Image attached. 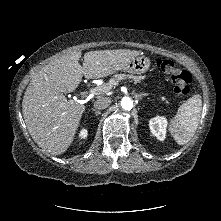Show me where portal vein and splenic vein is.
Masks as SVG:
<instances>
[{"label":"portal vein and splenic vein","mask_w":221,"mask_h":221,"mask_svg":"<svg viewBox=\"0 0 221 221\" xmlns=\"http://www.w3.org/2000/svg\"><path fill=\"white\" fill-rule=\"evenodd\" d=\"M106 90H107V88L105 86H101V87L93 88L91 90V93L93 94V93H96V92H99V91H106Z\"/></svg>","instance_id":"portal-vein-and-splenic-vein-1"}]
</instances>
